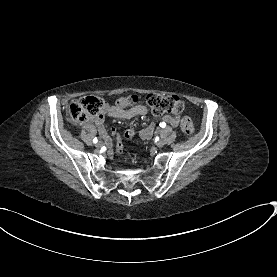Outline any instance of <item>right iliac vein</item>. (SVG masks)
Returning a JSON list of instances; mask_svg holds the SVG:
<instances>
[{
	"label": "right iliac vein",
	"instance_id": "right-iliac-vein-1",
	"mask_svg": "<svg viewBox=\"0 0 277 277\" xmlns=\"http://www.w3.org/2000/svg\"><path fill=\"white\" fill-rule=\"evenodd\" d=\"M103 146V143L101 141H99L97 144H96V147L97 148H101Z\"/></svg>",
	"mask_w": 277,
	"mask_h": 277
}]
</instances>
